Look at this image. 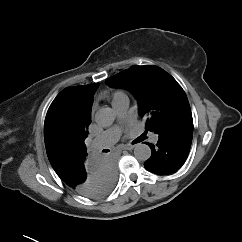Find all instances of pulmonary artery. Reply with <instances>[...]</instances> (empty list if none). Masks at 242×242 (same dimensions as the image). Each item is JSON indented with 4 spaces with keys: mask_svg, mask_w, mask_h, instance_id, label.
<instances>
[{
    "mask_svg": "<svg viewBox=\"0 0 242 242\" xmlns=\"http://www.w3.org/2000/svg\"><path fill=\"white\" fill-rule=\"evenodd\" d=\"M112 105L118 117L124 118L127 113L129 99L125 94L121 93L113 99ZM120 136H121V129L118 126H114L112 128L107 129L102 134H100L94 140L93 146L96 149L109 147L114 143H116L120 138ZM157 140H158V136L154 135L152 137V141L156 142Z\"/></svg>",
    "mask_w": 242,
    "mask_h": 242,
    "instance_id": "e3ab8cb5",
    "label": "pulmonary artery"
}]
</instances>
